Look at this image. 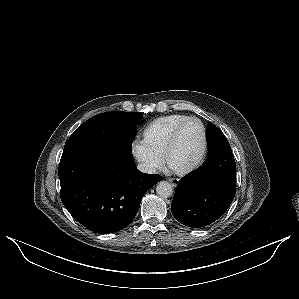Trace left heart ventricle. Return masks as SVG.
Wrapping results in <instances>:
<instances>
[{
	"mask_svg": "<svg viewBox=\"0 0 299 299\" xmlns=\"http://www.w3.org/2000/svg\"><path fill=\"white\" fill-rule=\"evenodd\" d=\"M202 143L201 128L197 123H190L178 134L168 156V163L175 169H183L195 162Z\"/></svg>",
	"mask_w": 299,
	"mask_h": 299,
	"instance_id": "left-heart-ventricle-1",
	"label": "left heart ventricle"
}]
</instances>
